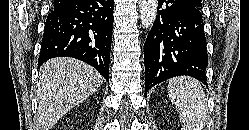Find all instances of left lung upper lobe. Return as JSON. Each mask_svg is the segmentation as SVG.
<instances>
[{"mask_svg":"<svg viewBox=\"0 0 249 130\" xmlns=\"http://www.w3.org/2000/svg\"><path fill=\"white\" fill-rule=\"evenodd\" d=\"M187 1L196 6L197 8H202V3L200 0H187Z\"/></svg>","mask_w":249,"mask_h":130,"instance_id":"left-lung-upper-lobe-1","label":"left lung upper lobe"}]
</instances>
